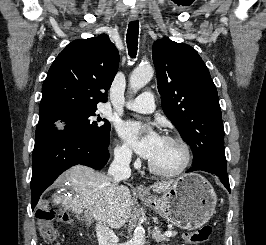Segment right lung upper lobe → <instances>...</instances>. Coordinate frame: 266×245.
I'll return each instance as SVG.
<instances>
[{"label": "right lung upper lobe", "instance_id": "cb5924a9", "mask_svg": "<svg viewBox=\"0 0 266 245\" xmlns=\"http://www.w3.org/2000/svg\"><path fill=\"white\" fill-rule=\"evenodd\" d=\"M118 65V50L106 34L68 44L43 82L39 121L106 102Z\"/></svg>", "mask_w": 266, "mask_h": 245}]
</instances>
